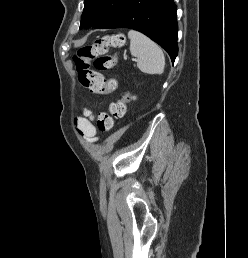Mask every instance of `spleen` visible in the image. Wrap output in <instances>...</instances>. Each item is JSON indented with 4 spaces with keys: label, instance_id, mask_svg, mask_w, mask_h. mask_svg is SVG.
Listing matches in <instances>:
<instances>
[{
    "label": "spleen",
    "instance_id": "obj_1",
    "mask_svg": "<svg viewBox=\"0 0 248 258\" xmlns=\"http://www.w3.org/2000/svg\"><path fill=\"white\" fill-rule=\"evenodd\" d=\"M130 53L138 58V68L147 74H162L165 57L161 48L144 34L130 30Z\"/></svg>",
    "mask_w": 248,
    "mask_h": 258
}]
</instances>
